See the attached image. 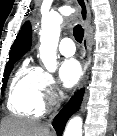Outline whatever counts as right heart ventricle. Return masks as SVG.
<instances>
[{
	"mask_svg": "<svg viewBox=\"0 0 117 136\" xmlns=\"http://www.w3.org/2000/svg\"><path fill=\"white\" fill-rule=\"evenodd\" d=\"M43 72L24 62L15 72L8 90L7 107L19 116L40 118L44 113L41 91Z\"/></svg>",
	"mask_w": 117,
	"mask_h": 136,
	"instance_id": "right-heart-ventricle-1",
	"label": "right heart ventricle"
}]
</instances>
